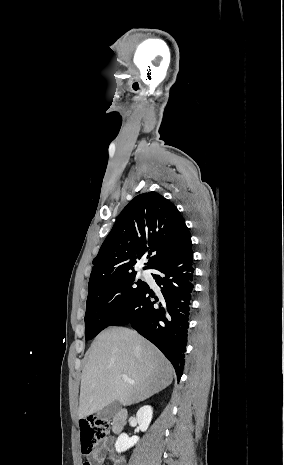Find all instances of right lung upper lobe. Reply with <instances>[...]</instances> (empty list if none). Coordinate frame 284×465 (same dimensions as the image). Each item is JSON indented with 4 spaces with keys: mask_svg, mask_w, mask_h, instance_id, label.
<instances>
[{
    "mask_svg": "<svg viewBox=\"0 0 284 465\" xmlns=\"http://www.w3.org/2000/svg\"><path fill=\"white\" fill-rule=\"evenodd\" d=\"M190 239L176 206L156 192L137 195L122 211L93 260L88 290L136 273L137 259L148 254L153 269Z\"/></svg>",
    "mask_w": 284,
    "mask_h": 465,
    "instance_id": "right-lung-upper-lobe-1",
    "label": "right lung upper lobe"
}]
</instances>
